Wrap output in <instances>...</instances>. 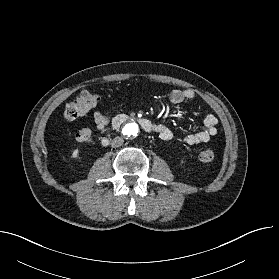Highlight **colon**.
Listing matches in <instances>:
<instances>
[{"mask_svg":"<svg viewBox=\"0 0 279 279\" xmlns=\"http://www.w3.org/2000/svg\"><path fill=\"white\" fill-rule=\"evenodd\" d=\"M99 101V97L90 91L81 92L77 98L69 102L64 110V118L67 121H73L85 115L94 108ZM76 140L82 144H88L92 141V132L88 128H82L76 134ZM215 157L213 150L203 148L198 154V159L203 163L211 162Z\"/></svg>","mask_w":279,"mask_h":279,"instance_id":"colon-1","label":"colon"}]
</instances>
